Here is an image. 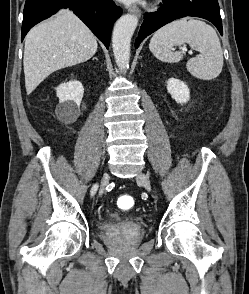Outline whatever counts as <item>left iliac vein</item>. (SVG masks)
Returning <instances> with one entry per match:
<instances>
[{"instance_id":"obj_1","label":"left iliac vein","mask_w":249,"mask_h":294,"mask_svg":"<svg viewBox=\"0 0 249 294\" xmlns=\"http://www.w3.org/2000/svg\"><path fill=\"white\" fill-rule=\"evenodd\" d=\"M136 180L138 182H140L143 187L148 191L150 192L151 191V184H150V180L148 178V176L144 173H139L136 177Z\"/></svg>"}]
</instances>
